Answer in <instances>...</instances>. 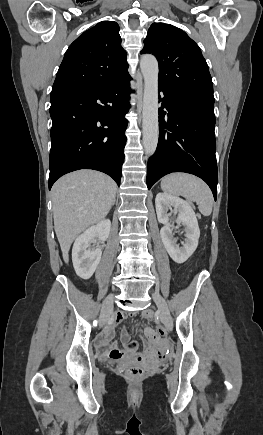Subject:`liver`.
Segmentation results:
<instances>
[{
	"label": "liver",
	"instance_id": "6515ba94",
	"mask_svg": "<svg viewBox=\"0 0 263 435\" xmlns=\"http://www.w3.org/2000/svg\"><path fill=\"white\" fill-rule=\"evenodd\" d=\"M116 183L93 170H79L60 178L52 188L54 229L63 260L86 228L104 219L115 201Z\"/></svg>",
	"mask_w": 263,
	"mask_h": 435
}]
</instances>
